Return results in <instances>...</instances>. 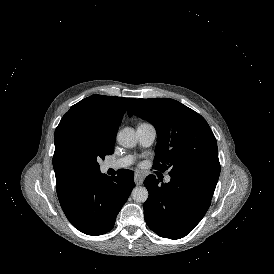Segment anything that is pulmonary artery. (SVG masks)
<instances>
[{"instance_id":"1","label":"pulmonary artery","mask_w":274,"mask_h":274,"mask_svg":"<svg viewBox=\"0 0 274 274\" xmlns=\"http://www.w3.org/2000/svg\"><path fill=\"white\" fill-rule=\"evenodd\" d=\"M138 142L141 147L147 148L151 146L156 137V130L153 125L149 123H141L136 128ZM134 162V157L129 155L122 158L109 160L105 162V169H123L130 166ZM165 182L169 183L171 181V176L167 174L165 176Z\"/></svg>"}]
</instances>
